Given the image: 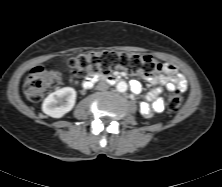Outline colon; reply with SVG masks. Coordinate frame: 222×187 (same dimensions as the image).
<instances>
[{
	"label": "colon",
	"mask_w": 222,
	"mask_h": 187,
	"mask_svg": "<svg viewBox=\"0 0 222 187\" xmlns=\"http://www.w3.org/2000/svg\"><path fill=\"white\" fill-rule=\"evenodd\" d=\"M69 66L86 80L99 74H108L116 69L130 74L152 76L163 67L160 61L148 55L114 51L82 54L71 58ZM61 83L62 77L58 72L38 66L29 73L24 85V94L29 101L39 102L48 91L58 88ZM181 103V95L177 92L171 93L167 97V110L176 112Z\"/></svg>",
	"instance_id": "1"
}]
</instances>
